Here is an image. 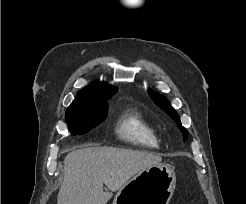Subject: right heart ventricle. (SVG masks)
<instances>
[{"mask_svg": "<svg viewBox=\"0 0 246 204\" xmlns=\"http://www.w3.org/2000/svg\"><path fill=\"white\" fill-rule=\"evenodd\" d=\"M117 137L132 146L157 148L159 138L156 129L137 110H127L117 120Z\"/></svg>", "mask_w": 246, "mask_h": 204, "instance_id": "right-heart-ventricle-1", "label": "right heart ventricle"}]
</instances>
